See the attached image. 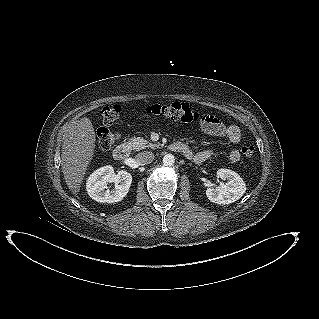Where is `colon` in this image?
Instances as JSON below:
<instances>
[{
	"label": "colon",
	"mask_w": 319,
	"mask_h": 319,
	"mask_svg": "<svg viewBox=\"0 0 319 319\" xmlns=\"http://www.w3.org/2000/svg\"><path fill=\"white\" fill-rule=\"evenodd\" d=\"M148 115L164 117L170 120L182 122H194L204 120L206 114L194 110L189 104L182 102H172L169 104H153L144 109ZM121 113V107L117 104L106 106L102 110L103 122L110 125L117 120ZM119 139V134L106 127L97 130V145L101 150L110 149ZM244 158L251 160L254 157L255 150L251 145H245L241 149Z\"/></svg>",
	"instance_id": "obj_1"
}]
</instances>
